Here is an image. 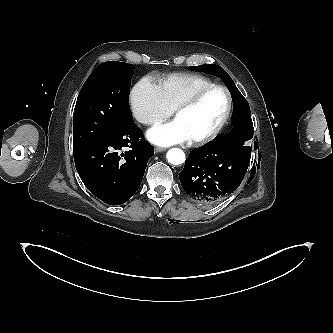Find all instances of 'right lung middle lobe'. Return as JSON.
Instances as JSON below:
<instances>
[{
  "label": "right lung middle lobe",
  "instance_id": "right-lung-middle-lobe-1",
  "mask_svg": "<svg viewBox=\"0 0 333 333\" xmlns=\"http://www.w3.org/2000/svg\"><path fill=\"white\" fill-rule=\"evenodd\" d=\"M134 66L108 61L97 66L77 98L73 114V153L119 132L133 121L129 92Z\"/></svg>",
  "mask_w": 333,
  "mask_h": 333
}]
</instances>
